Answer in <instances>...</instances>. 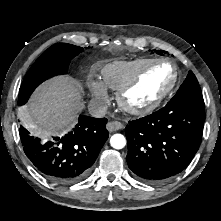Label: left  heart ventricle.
Segmentation results:
<instances>
[{
	"label": "left heart ventricle",
	"instance_id": "obj_1",
	"mask_svg": "<svg viewBox=\"0 0 221 221\" xmlns=\"http://www.w3.org/2000/svg\"><path fill=\"white\" fill-rule=\"evenodd\" d=\"M172 74L167 65L153 66L128 93V100L134 105L149 103L168 86Z\"/></svg>",
	"mask_w": 221,
	"mask_h": 221
}]
</instances>
